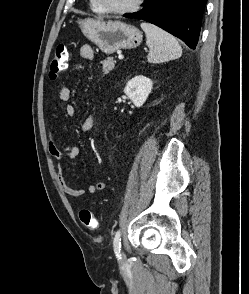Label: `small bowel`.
<instances>
[{"label":"small bowel","mask_w":249,"mask_h":294,"mask_svg":"<svg viewBox=\"0 0 249 294\" xmlns=\"http://www.w3.org/2000/svg\"><path fill=\"white\" fill-rule=\"evenodd\" d=\"M80 56L87 61H92L95 58L94 50L89 45H84L80 48ZM82 69V65H78L75 70L79 71ZM59 96L61 101L64 103L66 114L70 117L76 115V108L71 104L70 97L71 91L67 85H63L60 88ZM94 118L93 116L86 117L81 123V130L83 132H88L93 128ZM47 143L48 149L51 156L56 161L57 165V179L60 189L70 197L78 198L85 194L83 188H76L70 186L64 176V164L66 161L73 160L79 155V148L74 145H63L61 144L54 134L53 125L49 123L47 125ZM106 188V183L104 181H99L93 184H90L87 187L89 194H96L100 191H103Z\"/></svg>","instance_id":"1"}]
</instances>
